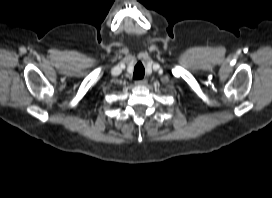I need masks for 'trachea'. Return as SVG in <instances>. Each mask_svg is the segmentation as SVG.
Instances as JSON below:
<instances>
[{
  "instance_id": "3493384b",
  "label": "trachea",
  "mask_w": 272,
  "mask_h": 198,
  "mask_svg": "<svg viewBox=\"0 0 272 198\" xmlns=\"http://www.w3.org/2000/svg\"><path fill=\"white\" fill-rule=\"evenodd\" d=\"M144 74H145V70L143 65L141 63L137 64L134 69L133 78L135 80L142 79L144 77Z\"/></svg>"
}]
</instances>
